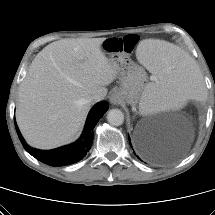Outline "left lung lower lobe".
Segmentation results:
<instances>
[{
	"instance_id": "1",
	"label": "left lung lower lobe",
	"mask_w": 215,
	"mask_h": 215,
	"mask_svg": "<svg viewBox=\"0 0 215 215\" xmlns=\"http://www.w3.org/2000/svg\"><path fill=\"white\" fill-rule=\"evenodd\" d=\"M135 154V153H134ZM141 157L145 158L147 161H156L153 157L147 155L146 153L140 151ZM137 156V155H136ZM138 157V156H137ZM139 158V157H138ZM140 159V158H139Z\"/></svg>"
}]
</instances>
